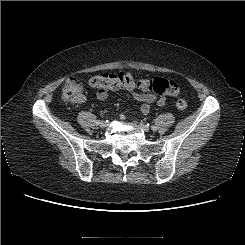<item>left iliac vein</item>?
<instances>
[{
	"instance_id": "4c4485c4",
	"label": "left iliac vein",
	"mask_w": 245,
	"mask_h": 245,
	"mask_svg": "<svg viewBox=\"0 0 245 245\" xmlns=\"http://www.w3.org/2000/svg\"><path fill=\"white\" fill-rule=\"evenodd\" d=\"M139 127L142 128L145 132H149L150 128L148 125L140 123Z\"/></svg>"
}]
</instances>
